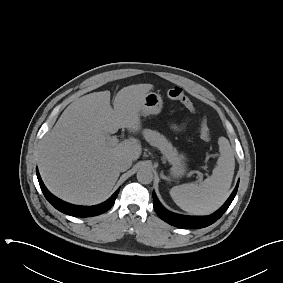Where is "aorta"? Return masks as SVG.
<instances>
[{"instance_id":"aorta-1","label":"aorta","mask_w":283,"mask_h":283,"mask_svg":"<svg viewBox=\"0 0 283 283\" xmlns=\"http://www.w3.org/2000/svg\"><path fill=\"white\" fill-rule=\"evenodd\" d=\"M137 180L143 184H149L153 180V172L148 167H142L137 172Z\"/></svg>"}]
</instances>
